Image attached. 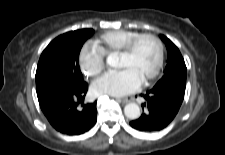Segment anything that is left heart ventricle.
Here are the masks:
<instances>
[{
	"label": "left heart ventricle",
	"mask_w": 225,
	"mask_h": 155,
	"mask_svg": "<svg viewBox=\"0 0 225 155\" xmlns=\"http://www.w3.org/2000/svg\"><path fill=\"white\" fill-rule=\"evenodd\" d=\"M157 60V46L149 38L138 42L133 53L128 56L119 55L118 67L130 68L144 80L154 69Z\"/></svg>",
	"instance_id": "1"
}]
</instances>
